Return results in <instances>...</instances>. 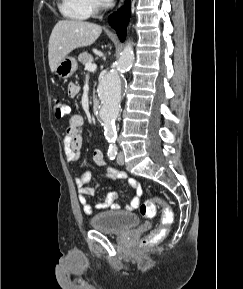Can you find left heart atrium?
<instances>
[{"mask_svg":"<svg viewBox=\"0 0 243 289\" xmlns=\"http://www.w3.org/2000/svg\"><path fill=\"white\" fill-rule=\"evenodd\" d=\"M103 1H105V2H109V1H112V0H103Z\"/></svg>","mask_w":243,"mask_h":289,"instance_id":"1","label":"left heart atrium"}]
</instances>
